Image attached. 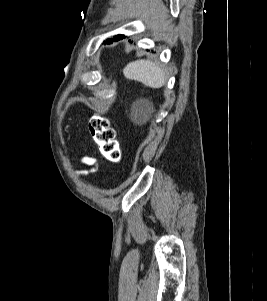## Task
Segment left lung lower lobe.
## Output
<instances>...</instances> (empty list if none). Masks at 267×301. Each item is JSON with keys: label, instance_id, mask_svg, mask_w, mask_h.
Listing matches in <instances>:
<instances>
[{"label": "left lung lower lobe", "instance_id": "left-lung-lower-lobe-1", "mask_svg": "<svg viewBox=\"0 0 267 301\" xmlns=\"http://www.w3.org/2000/svg\"><path fill=\"white\" fill-rule=\"evenodd\" d=\"M123 37H124V35H116V36H114L113 39H107L104 43L109 44V43H112L113 41H118V40L122 39Z\"/></svg>", "mask_w": 267, "mask_h": 301}]
</instances>
